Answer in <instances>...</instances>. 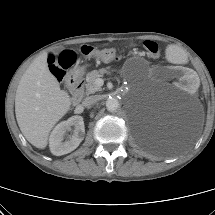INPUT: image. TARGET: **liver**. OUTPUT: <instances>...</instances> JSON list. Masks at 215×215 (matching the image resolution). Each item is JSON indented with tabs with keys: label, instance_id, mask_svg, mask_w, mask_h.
<instances>
[{
	"label": "liver",
	"instance_id": "liver-1",
	"mask_svg": "<svg viewBox=\"0 0 215 215\" xmlns=\"http://www.w3.org/2000/svg\"><path fill=\"white\" fill-rule=\"evenodd\" d=\"M47 57L43 53L33 60L22 75L15 96L18 126L27 141L39 149L47 146L50 131L72 104L50 72Z\"/></svg>",
	"mask_w": 215,
	"mask_h": 215
}]
</instances>
